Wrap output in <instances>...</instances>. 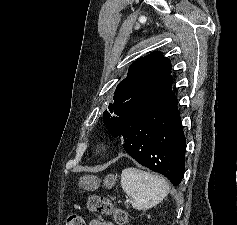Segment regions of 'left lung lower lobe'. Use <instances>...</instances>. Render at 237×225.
<instances>
[{
	"instance_id": "obj_1",
	"label": "left lung lower lobe",
	"mask_w": 237,
	"mask_h": 225,
	"mask_svg": "<svg viewBox=\"0 0 237 225\" xmlns=\"http://www.w3.org/2000/svg\"><path fill=\"white\" fill-rule=\"evenodd\" d=\"M113 136L121 138L124 150L138 163L175 186L181 183L186 140L175 96L131 113Z\"/></svg>"
}]
</instances>
